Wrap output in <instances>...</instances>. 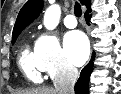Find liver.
Listing matches in <instances>:
<instances>
[{
    "instance_id": "6515ba94",
    "label": "liver",
    "mask_w": 121,
    "mask_h": 94,
    "mask_svg": "<svg viewBox=\"0 0 121 94\" xmlns=\"http://www.w3.org/2000/svg\"><path fill=\"white\" fill-rule=\"evenodd\" d=\"M18 94H58L56 89L52 87H39L31 90H24L19 92Z\"/></svg>"
}]
</instances>
